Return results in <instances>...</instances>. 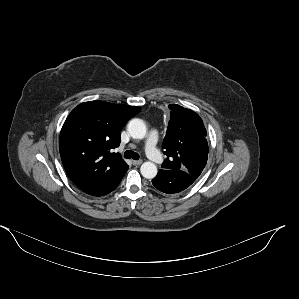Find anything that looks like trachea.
Instances as JSON below:
<instances>
[{"mask_svg":"<svg viewBox=\"0 0 299 299\" xmlns=\"http://www.w3.org/2000/svg\"><path fill=\"white\" fill-rule=\"evenodd\" d=\"M124 158H127V159L132 158V159H134V160H138V159H139V154L136 153V152H133V151H131V150H127V151H125V153H124Z\"/></svg>","mask_w":299,"mask_h":299,"instance_id":"obj_1","label":"trachea"}]
</instances>
